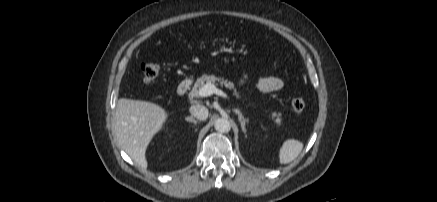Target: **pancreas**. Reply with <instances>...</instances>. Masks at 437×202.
Segmentation results:
<instances>
[{
    "label": "pancreas",
    "mask_w": 437,
    "mask_h": 202,
    "mask_svg": "<svg viewBox=\"0 0 437 202\" xmlns=\"http://www.w3.org/2000/svg\"><path fill=\"white\" fill-rule=\"evenodd\" d=\"M220 82L221 85H224L225 87L229 88V89H233L234 90V95L237 96V98H239V93L237 92L233 82H230L228 80H224L223 78L220 77H216L215 75H207L204 74L201 77H199L195 83L194 86L191 90V95L194 97H198L199 96V89L204 86L206 83H212V84H216V82ZM272 119L274 120V122L278 125L282 124V119H281V113H276L273 112L272 113Z\"/></svg>",
    "instance_id": "cf45deb5"
}]
</instances>
